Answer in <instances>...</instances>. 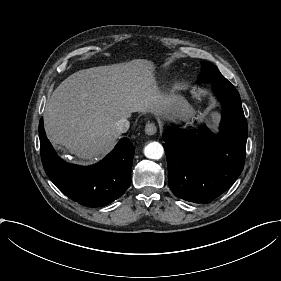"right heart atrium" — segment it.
Here are the masks:
<instances>
[{
    "mask_svg": "<svg viewBox=\"0 0 281 281\" xmlns=\"http://www.w3.org/2000/svg\"><path fill=\"white\" fill-rule=\"evenodd\" d=\"M126 117V111L123 107V105L119 102L114 103L112 106L108 118L112 121H118L120 119H123Z\"/></svg>",
    "mask_w": 281,
    "mask_h": 281,
    "instance_id": "right-heart-atrium-1",
    "label": "right heart atrium"
}]
</instances>
